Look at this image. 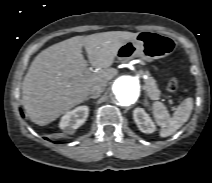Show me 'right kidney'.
I'll return each instance as SVG.
<instances>
[{
	"label": "right kidney",
	"mask_w": 212,
	"mask_h": 183,
	"mask_svg": "<svg viewBox=\"0 0 212 183\" xmlns=\"http://www.w3.org/2000/svg\"><path fill=\"white\" fill-rule=\"evenodd\" d=\"M89 114L87 106H79L67 112L59 123V127L66 133L72 134L74 131L85 123Z\"/></svg>",
	"instance_id": "ca27d5eb"
}]
</instances>
